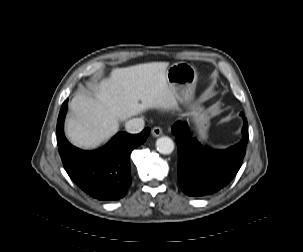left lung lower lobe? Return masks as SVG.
I'll return each instance as SVG.
<instances>
[{"label": "left lung lower lobe", "mask_w": 303, "mask_h": 252, "mask_svg": "<svg viewBox=\"0 0 303 252\" xmlns=\"http://www.w3.org/2000/svg\"><path fill=\"white\" fill-rule=\"evenodd\" d=\"M244 119L243 138L228 149L211 150L202 146L187 123L172 126L178 148L177 178L181 189L190 196H205L230 183L241 167L248 142V123Z\"/></svg>", "instance_id": "1"}]
</instances>
